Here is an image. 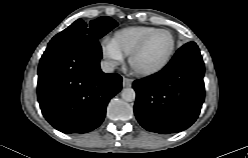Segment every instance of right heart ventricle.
Instances as JSON below:
<instances>
[{
	"label": "right heart ventricle",
	"instance_id": "1",
	"mask_svg": "<svg viewBox=\"0 0 248 158\" xmlns=\"http://www.w3.org/2000/svg\"><path fill=\"white\" fill-rule=\"evenodd\" d=\"M153 30L155 28L147 26L127 27L116 31L111 40L124 56H129L141 39Z\"/></svg>",
	"mask_w": 248,
	"mask_h": 158
}]
</instances>
